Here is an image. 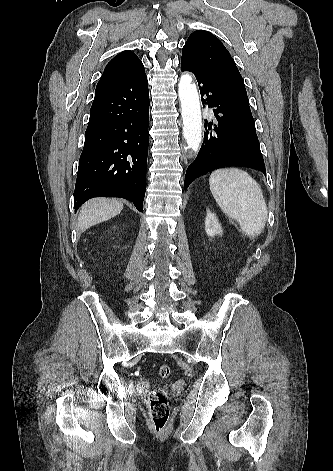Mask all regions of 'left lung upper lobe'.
<instances>
[{"instance_id": "left-lung-upper-lobe-1", "label": "left lung upper lobe", "mask_w": 333, "mask_h": 471, "mask_svg": "<svg viewBox=\"0 0 333 471\" xmlns=\"http://www.w3.org/2000/svg\"><path fill=\"white\" fill-rule=\"evenodd\" d=\"M182 59L210 75L252 117L244 80L230 53L216 36L205 30L193 32L183 46Z\"/></svg>"}]
</instances>
